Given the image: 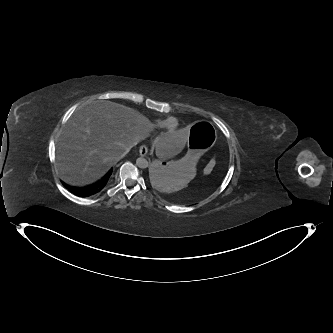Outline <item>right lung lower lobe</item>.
Segmentation results:
<instances>
[{
  "label": "right lung lower lobe",
  "mask_w": 333,
  "mask_h": 333,
  "mask_svg": "<svg viewBox=\"0 0 333 333\" xmlns=\"http://www.w3.org/2000/svg\"><path fill=\"white\" fill-rule=\"evenodd\" d=\"M112 173V169L108 171V173L103 177L101 181L98 183L91 185L89 187H83V188H77V187H72L64 184V186L73 194L80 196V197H88L92 196L94 194L99 193L107 184L109 177Z\"/></svg>",
  "instance_id": "right-lung-lower-lobe-1"
}]
</instances>
